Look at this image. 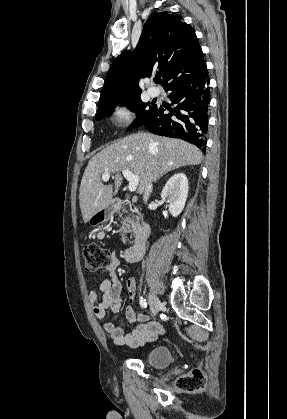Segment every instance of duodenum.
<instances>
[{
	"instance_id": "obj_1",
	"label": "duodenum",
	"mask_w": 287,
	"mask_h": 419,
	"mask_svg": "<svg viewBox=\"0 0 287 419\" xmlns=\"http://www.w3.org/2000/svg\"><path fill=\"white\" fill-rule=\"evenodd\" d=\"M128 205V202L123 200H116L113 203L115 209H120ZM150 224L143 222L136 233L134 244L124 251V258L128 262H135L140 259L144 251L145 243L150 235Z\"/></svg>"
}]
</instances>
